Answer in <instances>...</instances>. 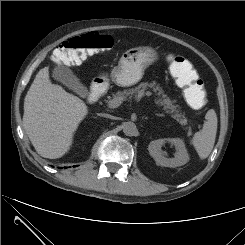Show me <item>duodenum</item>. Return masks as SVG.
<instances>
[{"label":"duodenum","mask_w":245,"mask_h":245,"mask_svg":"<svg viewBox=\"0 0 245 245\" xmlns=\"http://www.w3.org/2000/svg\"><path fill=\"white\" fill-rule=\"evenodd\" d=\"M103 93V86L101 83H94L91 87L90 94L87 98V100L90 103H94L99 100Z\"/></svg>","instance_id":"410a0bca"}]
</instances>
